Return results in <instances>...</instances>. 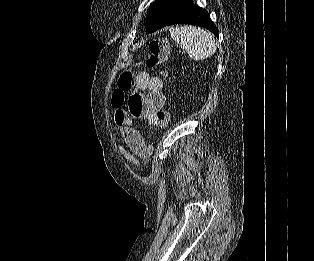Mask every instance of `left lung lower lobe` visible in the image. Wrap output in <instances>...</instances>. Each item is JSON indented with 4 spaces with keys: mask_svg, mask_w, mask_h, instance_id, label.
<instances>
[{
    "mask_svg": "<svg viewBox=\"0 0 314 261\" xmlns=\"http://www.w3.org/2000/svg\"><path fill=\"white\" fill-rule=\"evenodd\" d=\"M174 24H192L204 27L218 37V29L210 19L208 12L193 4L191 0H184L176 14L165 26Z\"/></svg>",
    "mask_w": 314,
    "mask_h": 261,
    "instance_id": "1",
    "label": "left lung lower lobe"
}]
</instances>
